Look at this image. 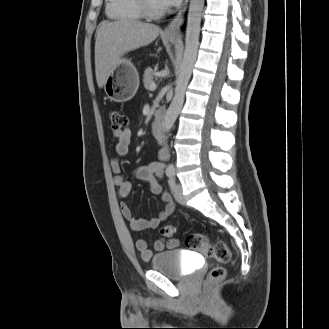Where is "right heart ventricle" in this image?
Returning <instances> with one entry per match:
<instances>
[{
    "instance_id": "right-heart-ventricle-1",
    "label": "right heart ventricle",
    "mask_w": 329,
    "mask_h": 329,
    "mask_svg": "<svg viewBox=\"0 0 329 329\" xmlns=\"http://www.w3.org/2000/svg\"><path fill=\"white\" fill-rule=\"evenodd\" d=\"M106 13L119 20L140 21L144 15L138 0H106Z\"/></svg>"
}]
</instances>
